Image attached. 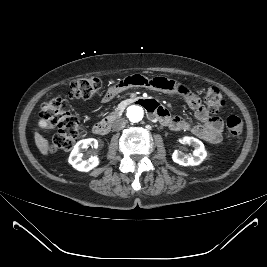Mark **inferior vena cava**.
<instances>
[{"label": "inferior vena cava", "mask_w": 267, "mask_h": 267, "mask_svg": "<svg viewBox=\"0 0 267 267\" xmlns=\"http://www.w3.org/2000/svg\"><path fill=\"white\" fill-rule=\"evenodd\" d=\"M126 126V120L123 118L114 121L112 128L114 131L122 130Z\"/></svg>", "instance_id": "inferior-vena-cava-1"}]
</instances>
